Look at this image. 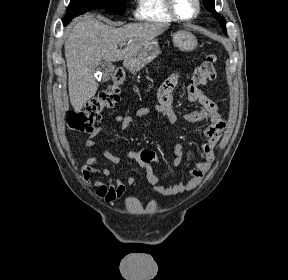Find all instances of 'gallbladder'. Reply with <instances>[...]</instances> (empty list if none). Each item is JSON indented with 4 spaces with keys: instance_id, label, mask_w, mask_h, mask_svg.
I'll return each mask as SVG.
<instances>
[{
    "instance_id": "bac80fb5",
    "label": "gallbladder",
    "mask_w": 288,
    "mask_h": 280,
    "mask_svg": "<svg viewBox=\"0 0 288 280\" xmlns=\"http://www.w3.org/2000/svg\"><path fill=\"white\" fill-rule=\"evenodd\" d=\"M102 81H107L112 76L114 71V65L111 62L107 61H100L99 64L96 66V71H103Z\"/></svg>"
}]
</instances>
